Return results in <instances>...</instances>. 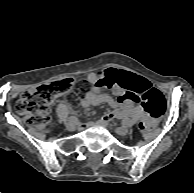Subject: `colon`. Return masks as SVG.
<instances>
[{
	"instance_id": "1",
	"label": "colon",
	"mask_w": 194,
	"mask_h": 193,
	"mask_svg": "<svg viewBox=\"0 0 194 193\" xmlns=\"http://www.w3.org/2000/svg\"><path fill=\"white\" fill-rule=\"evenodd\" d=\"M117 82L122 88L134 93L130 100L142 101L148 114L144 123V132L152 129V120L161 116L165 111V100L160 91L152 86H147L142 91H137V81L130 75L119 74L114 81L107 86ZM78 82L74 78H66L48 84L40 85L25 91L16 104V111L20 114L26 125L45 129L49 122V107L53 100L60 95H66L74 91Z\"/></svg>"
}]
</instances>
